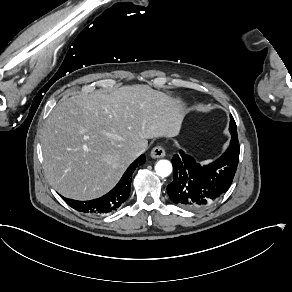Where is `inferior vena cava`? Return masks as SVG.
Returning a JSON list of instances; mask_svg holds the SVG:
<instances>
[{
  "label": "inferior vena cava",
  "mask_w": 292,
  "mask_h": 292,
  "mask_svg": "<svg viewBox=\"0 0 292 292\" xmlns=\"http://www.w3.org/2000/svg\"><path fill=\"white\" fill-rule=\"evenodd\" d=\"M147 145L146 146H140L135 149L136 157L140 156L146 151Z\"/></svg>",
  "instance_id": "obj_1"
}]
</instances>
